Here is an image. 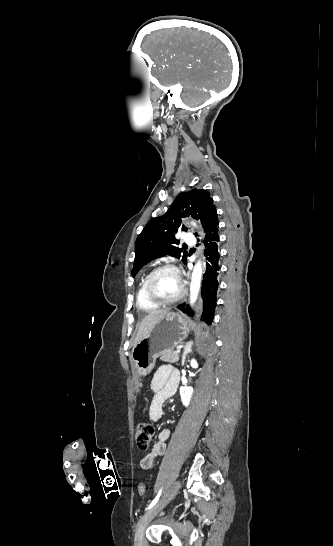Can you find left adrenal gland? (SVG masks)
I'll list each match as a JSON object with an SVG mask.
<instances>
[{
    "instance_id": "1",
    "label": "left adrenal gland",
    "mask_w": 333,
    "mask_h": 546,
    "mask_svg": "<svg viewBox=\"0 0 333 546\" xmlns=\"http://www.w3.org/2000/svg\"><path fill=\"white\" fill-rule=\"evenodd\" d=\"M192 345H193V341H189L185 344L184 348H183V354H182V362H181V365L184 366L185 364V359H186V355L190 352H192Z\"/></svg>"
}]
</instances>
